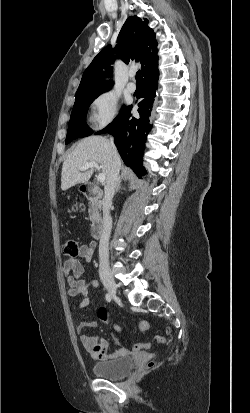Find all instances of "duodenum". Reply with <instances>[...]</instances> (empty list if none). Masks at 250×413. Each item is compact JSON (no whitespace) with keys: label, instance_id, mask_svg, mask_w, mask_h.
Listing matches in <instances>:
<instances>
[{"label":"duodenum","instance_id":"obj_1","mask_svg":"<svg viewBox=\"0 0 250 413\" xmlns=\"http://www.w3.org/2000/svg\"><path fill=\"white\" fill-rule=\"evenodd\" d=\"M83 194L87 198H99L102 192L93 184H87L83 187ZM104 230L103 220L100 216H95L91 224V235L93 238H99Z\"/></svg>","mask_w":250,"mask_h":413}]
</instances>
